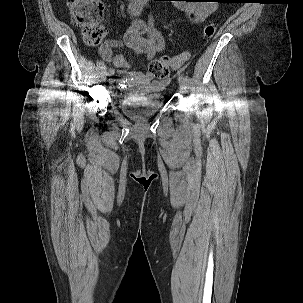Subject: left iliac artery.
<instances>
[{
  "instance_id": "1",
  "label": "left iliac artery",
  "mask_w": 303,
  "mask_h": 303,
  "mask_svg": "<svg viewBox=\"0 0 303 303\" xmlns=\"http://www.w3.org/2000/svg\"><path fill=\"white\" fill-rule=\"evenodd\" d=\"M185 79H186V85L188 87H191L192 86V79L189 77L188 73H186Z\"/></svg>"
}]
</instances>
